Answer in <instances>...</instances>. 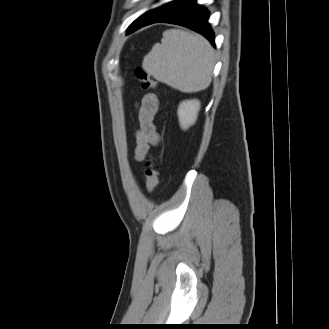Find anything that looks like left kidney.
Here are the masks:
<instances>
[{"label": "left kidney", "instance_id": "obj_1", "mask_svg": "<svg viewBox=\"0 0 329 329\" xmlns=\"http://www.w3.org/2000/svg\"><path fill=\"white\" fill-rule=\"evenodd\" d=\"M199 110L200 102L198 100H186L180 103L177 114L183 130L188 129L196 122Z\"/></svg>", "mask_w": 329, "mask_h": 329}]
</instances>
